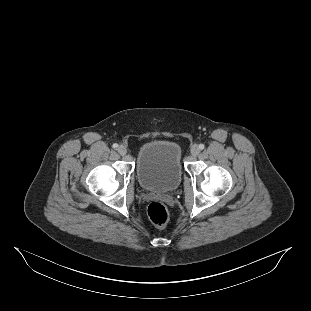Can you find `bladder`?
I'll return each instance as SVG.
<instances>
[{
    "mask_svg": "<svg viewBox=\"0 0 311 311\" xmlns=\"http://www.w3.org/2000/svg\"><path fill=\"white\" fill-rule=\"evenodd\" d=\"M140 186L150 192H170L181 183V148L173 140L155 139L143 144L136 164Z\"/></svg>",
    "mask_w": 311,
    "mask_h": 311,
    "instance_id": "bladder-1",
    "label": "bladder"
}]
</instances>
